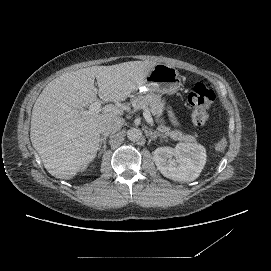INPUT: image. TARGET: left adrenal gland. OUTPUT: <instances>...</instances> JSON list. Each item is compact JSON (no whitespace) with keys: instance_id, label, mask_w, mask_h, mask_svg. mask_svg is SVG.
Returning <instances> with one entry per match:
<instances>
[{"instance_id":"obj_1","label":"left adrenal gland","mask_w":271,"mask_h":271,"mask_svg":"<svg viewBox=\"0 0 271 271\" xmlns=\"http://www.w3.org/2000/svg\"><path fill=\"white\" fill-rule=\"evenodd\" d=\"M149 137L151 141L157 140L158 138H164L161 134L158 133H150Z\"/></svg>"}]
</instances>
